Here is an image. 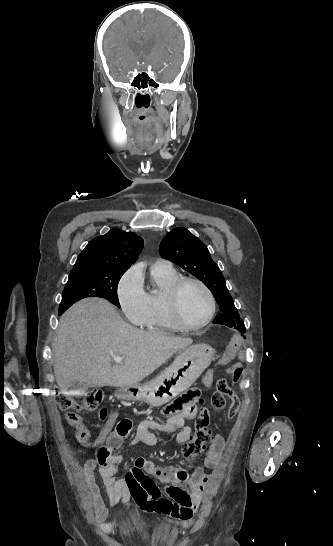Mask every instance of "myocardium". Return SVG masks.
Segmentation results:
<instances>
[{
    "mask_svg": "<svg viewBox=\"0 0 333 546\" xmlns=\"http://www.w3.org/2000/svg\"><path fill=\"white\" fill-rule=\"evenodd\" d=\"M187 283L198 285L206 293L209 300V312L206 318L196 325L186 323L179 310V294L182 287ZM165 308L168 317L178 329L183 331H198L206 327L213 320L216 313V299L212 290L205 282L195 277L185 276L178 278L168 290L165 296Z\"/></svg>",
    "mask_w": 333,
    "mask_h": 546,
    "instance_id": "f54148a6",
    "label": "myocardium"
}]
</instances>
